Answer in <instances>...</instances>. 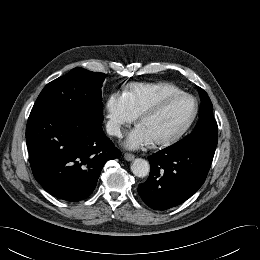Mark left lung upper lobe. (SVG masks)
<instances>
[{
    "instance_id": "obj_1",
    "label": "left lung upper lobe",
    "mask_w": 260,
    "mask_h": 260,
    "mask_svg": "<svg viewBox=\"0 0 260 260\" xmlns=\"http://www.w3.org/2000/svg\"><path fill=\"white\" fill-rule=\"evenodd\" d=\"M198 89L202 100L200 118L192 133L176 144L180 146H201L216 149L218 126L213 117V106L207 93L200 87H198Z\"/></svg>"
}]
</instances>
